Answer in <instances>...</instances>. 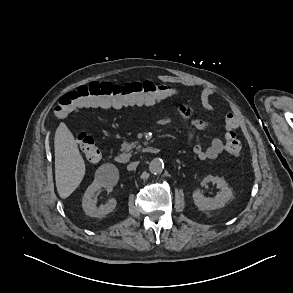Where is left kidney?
<instances>
[{
	"instance_id": "1",
	"label": "left kidney",
	"mask_w": 293,
	"mask_h": 293,
	"mask_svg": "<svg viewBox=\"0 0 293 293\" xmlns=\"http://www.w3.org/2000/svg\"><path fill=\"white\" fill-rule=\"evenodd\" d=\"M209 182L216 184L220 189V192L216 196L213 198L206 197L199 189L195 190L192 196L194 204L198 207L199 210L202 211L215 210L224 207L233 196L231 188H229L228 184L223 178L208 175L202 180L201 185L205 186Z\"/></svg>"
}]
</instances>
